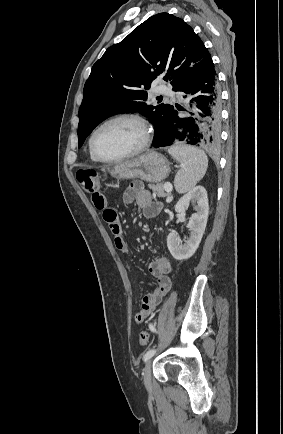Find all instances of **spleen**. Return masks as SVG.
<instances>
[{"label": "spleen", "mask_w": 283, "mask_h": 434, "mask_svg": "<svg viewBox=\"0 0 283 434\" xmlns=\"http://www.w3.org/2000/svg\"><path fill=\"white\" fill-rule=\"evenodd\" d=\"M169 153L181 165L174 180L176 191L188 192L204 177L208 167V157L204 151L189 145L171 147Z\"/></svg>", "instance_id": "spleen-1"}]
</instances>
